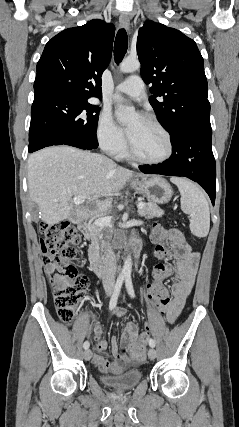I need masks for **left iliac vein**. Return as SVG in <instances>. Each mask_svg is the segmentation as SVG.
Segmentation results:
<instances>
[{
  "label": "left iliac vein",
  "instance_id": "4c4485c4",
  "mask_svg": "<svg viewBox=\"0 0 239 427\" xmlns=\"http://www.w3.org/2000/svg\"><path fill=\"white\" fill-rule=\"evenodd\" d=\"M148 357L150 360H154L156 358V350L153 347L149 349Z\"/></svg>",
  "mask_w": 239,
  "mask_h": 427
}]
</instances>
